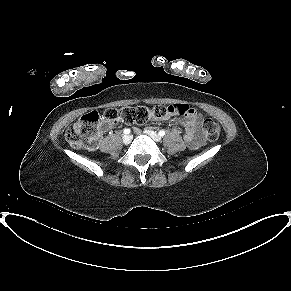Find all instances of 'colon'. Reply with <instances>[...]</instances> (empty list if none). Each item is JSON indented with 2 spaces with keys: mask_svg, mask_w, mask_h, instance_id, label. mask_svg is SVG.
Segmentation results:
<instances>
[{
  "mask_svg": "<svg viewBox=\"0 0 291 291\" xmlns=\"http://www.w3.org/2000/svg\"><path fill=\"white\" fill-rule=\"evenodd\" d=\"M189 106L176 104L170 106H157L150 110L145 106H126L120 109L109 108L105 110L102 118L109 122L122 121L128 124H144L150 117L165 118L173 114H185ZM101 116L93 111L82 116L66 133V140L73 148L93 149L97 146L99 129L98 122ZM203 132L208 141H215L220 135L219 125L206 119L203 123Z\"/></svg>",
  "mask_w": 291,
  "mask_h": 291,
  "instance_id": "5ec220e1",
  "label": "colon"
}]
</instances>
